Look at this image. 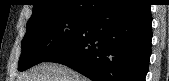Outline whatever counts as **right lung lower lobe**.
<instances>
[{"label":"right lung lower lobe","instance_id":"1","mask_svg":"<svg viewBox=\"0 0 169 81\" xmlns=\"http://www.w3.org/2000/svg\"><path fill=\"white\" fill-rule=\"evenodd\" d=\"M152 17L143 0H109L80 32L43 62L66 65L92 81H144Z\"/></svg>","mask_w":169,"mask_h":81}]
</instances>
